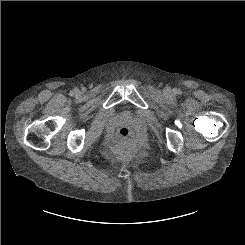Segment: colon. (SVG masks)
Listing matches in <instances>:
<instances>
[{"mask_svg": "<svg viewBox=\"0 0 245 245\" xmlns=\"http://www.w3.org/2000/svg\"><path fill=\"white\" fill-rule=\"evenodd\" d=\"M117 144L125 147H130L132 145V133L127 128H121L117 132L116 136Z\"/></svg>", "mask_w": 245, "mask_h": 245, "instance_id": "5ec220e1", "label": "colon"}]
</instances>
